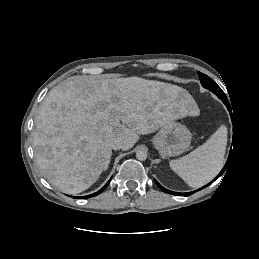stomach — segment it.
<instances>
[{
	"mask_svg": "<svg viewBox=\"0 0 259 259\" xmlns=\"http://www.w3.org/2000/svg\"><path fill=\"white\" fill-rule=\"evenodd\" d=\"M191 138L187 127L178 122H171L160 128L152 143L162 157H174L190 146Z\"/></svg>",
	"mask_w": 259,
	"mask_h": 259,
	"instance_id": "1",
	"label": "stomach"
}]
</instances>
